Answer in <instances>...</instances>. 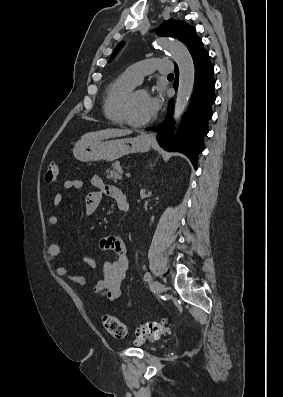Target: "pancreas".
Here are the masks:
<instances>
[{
  "mask_svg": "<svg viewBox=\"0 0 283 397\" xmlns=\"http://www.w3.org/2000/svg\"><path fill=\"white\" fill-rule=\"evenodd\" d=\"M107 173L106 177L108 179H113L114 182L122 180L123 170L119 162L113 163L111 168L107 169Z\"/></svg>",
  "mask_w": 283,
  "mask_h": 397,
  "instance_id": "pancreas-1",
  "label": "pancreas"
}]
</instances>
